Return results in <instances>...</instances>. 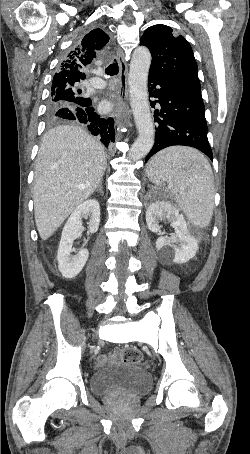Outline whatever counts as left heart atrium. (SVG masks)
I'll return each instance as SVG.
<instances>
[{"instance_id":"left-heart-atrium-1","label":"left heart atrium","mask_w":250,"mask_h":454,"mask_svg":"<svg viewBox=\"0 0 250 454\" xmlns=\"http://www.w3.org/2000/svg\"><path fill=\"white\" fill-rule=\"evenodd\" d=\"M102 109H103L104 111H109V110L111 109L110 103L104 102V103L102 104Z\"/></svg>"}]
</instances>
